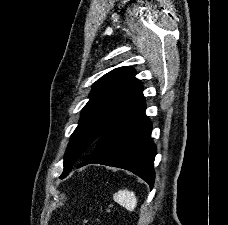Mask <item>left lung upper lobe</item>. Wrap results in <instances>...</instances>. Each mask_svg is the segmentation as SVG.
Wrapping results in <instances>:
<instances>
[{
    "label": "left lung upper lobe",
    "instance_id": "obj_1",
    "mask_svg": "<svg viewBox=\"0 0 228 225\" xmlns=\"http://www.w3.org/2000/svg\"><path fill=\"white\" fill-rule=\"evenodd\" d=\"M134 76L132 67H119L93 85L90 100L82 109L79 125L66 149L60 179L93 151L98 139L110 126L144 100L143 86Z\"/></svg>",
    "mask_w": 228,
    "mask_h": 225
}]
</instances>
